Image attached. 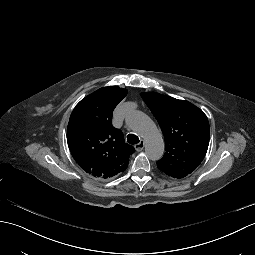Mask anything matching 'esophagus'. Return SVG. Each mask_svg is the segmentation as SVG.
Segmentation results:
<instances>
[{
  "label": "esophagus",
  "mask_w": 255,
  "mask_h": 255,
  "mask_svg": "<svg viewBox=\"0 0 255 255\" xmlns=\"http://www.w3.org/2000/svg\"><path fill=\"white\" fill-rule=\"evenodd\" d=\"M145 146L144 140H141L139 143L135 144V150L142 151Z\"/></svg>",
  "instance_id": "1"
}]
</instances>
